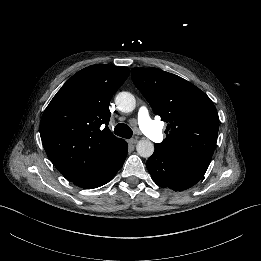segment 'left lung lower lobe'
I'll return each instance as SVG.
<instances>
[{
    "label": "left lung lower lobe",
    "instance_id": "1",
    "mask_svg": "<svg viewBox=\"0 0 261 261\" xmlns=\"http://www.w3.org/2000/svg\"><path fill=\"white\" fill-rule=\"evenodd\" d=\"M209 163L192 156L168 154L155 146L146 166L158 186L182 191L194 186L203 177Z\"/></svg>",
    "mask_w": 261,
    "mask_h": 261
}]
</instances>
